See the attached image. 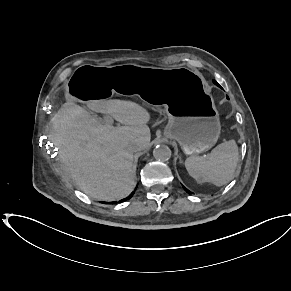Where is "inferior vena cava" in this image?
I'll use <instances>...</instances> for the list:
<instances>
[{"mask_svg": "<svg viewBox=\"0 0 291 291\" xmlns=\"http://www.w3.org/2000/svg\"><path fill=\"white\" fill-rule=\"evenodd\" d=\"M129 149H130L132 152H136V151H138L139 148H138L137 145L132 144V145H130Z\"/></svg>", "mask_w": 291, "mask_h": 291, "instance_id": "inferior-vena-cava-1", "label": "inferior vena cava"}]
</instances>
